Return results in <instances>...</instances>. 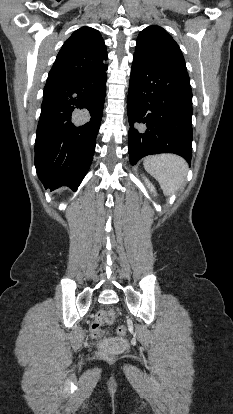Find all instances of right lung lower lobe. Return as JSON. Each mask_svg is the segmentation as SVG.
I'll return each mask as SVG.
<instances>
[{
    "label": "right lung lower lobe",
    "instance_id": "1",
    "mask_svg": "<svg viewBox=\"0 0 233 414\" xmlns=\"http://www.w3.org/2000/svg\"><path fill=\"white\" fill-rule=\"evenodd\" d=\"M77 77L49 74L35 141V166L45 188L76 189L94 154L106 92V70Z\"/></svg>",
    "mask_w": 233,
    "mask_h": 414
}]
</instances>
